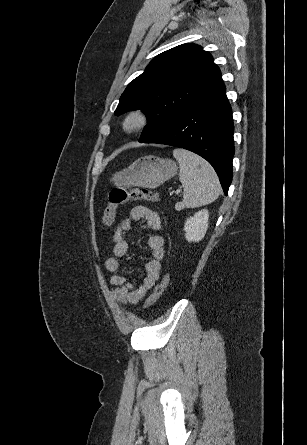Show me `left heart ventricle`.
I'll return each mask as SVG.
<instances>
[{
    "label": "left heart ventricle",
    "instance_id": "obj_1",
    "mask_svg": "<svg viewBox=\"0 0 307 445\" xmlns=\"http://www.w3.org/2000/svg\"><path fill=\"white\" fill-rule=\"evenodd\" d=\"M139 125V118L136 116H133L129 118L125 123V129L127 131L134 130Z\"/></svg>",
    "mask_w": 307,
    "mask_h": 445
}]
</instances>
